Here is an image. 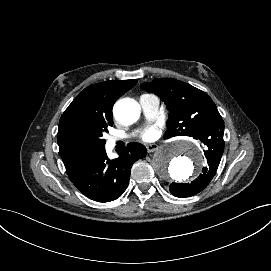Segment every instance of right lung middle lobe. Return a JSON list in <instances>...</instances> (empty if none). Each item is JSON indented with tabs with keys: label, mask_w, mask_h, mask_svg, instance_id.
Masks as SVG:
<instances>
[{
	"label": "right lung middle lobe",
	"mask_w": 271,
	"mask_h": 271,
	"mask_svg": "<svg viewBox=\"0 0 271 271\" xmlns=\"http://www.w3.org/2000/svg\"><path fill=\"white\" fill-rule=\"evenodd\" d=\"M113 119H104L87 111H74L62 116L58 128V145L61 157H73L95 152L105 146L102 138Z\"/></svg>",
	"instance_id": "1"
}]
</instances>
